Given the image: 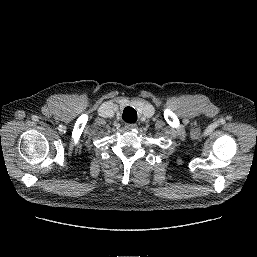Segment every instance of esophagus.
<instances>
[{
	"label": "esophagus",
	"mask_w": 257,
	"mask_h": 257,
	"mask_svg": "<svg viewBox=\"0 0 257 257\" xmlns=\"http://www.w3.org/2000/svg\"><path fill=\"white\" fill-rule=\"evenodd\" d=\"M136 127H137V125H136L135 123L126 124V125H125V128H126L127 130H132V129L136 128Z\"/></svg>",
	"instance_id": "obj_1"
}]
</instances>
